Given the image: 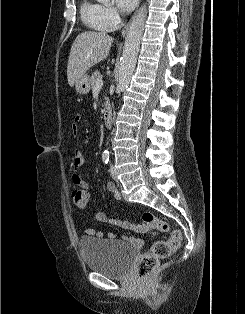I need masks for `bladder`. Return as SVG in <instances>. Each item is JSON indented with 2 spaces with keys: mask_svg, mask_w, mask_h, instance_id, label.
Instances as JSON below:
<instances>
[{
  "mask_svg": "<svg viewBox=\"0 0 245 314\" xmlns=\"http://www.w3.org/2000/svg\"><path fill=\"white\" fill-rule=\"evenodd\" d=\"M79 247L86 267L108 277L124 276L138 255L125 243L99 238L83 239Z\"/></svg>",
  "mask_w": 245,
  "mask_h": 314,
  "instance_id": "1",
  "label": "bladder"
}]
</instances>
